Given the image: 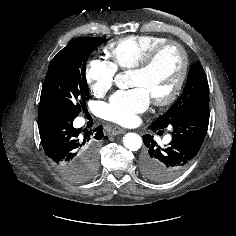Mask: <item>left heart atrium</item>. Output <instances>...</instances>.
<instances>
[{
	"label": "left heart atrium",
	"instance_id": "39dd6f15",
	"mask_svg": "<svg viewBox=\"0 0 236 236\" xmlns=\"http://www.w3.org/2000/svg\"><path fill=\"white\" fill-rule=\"evenodd\" d=\"M151 97L143 87L115 93L106 105L104 116L106 119L121 125H131L137 120V115L146 111Z\"/></svg>",
	"mask_w": 236,
	"mask_h": 236
}]
</instances>
